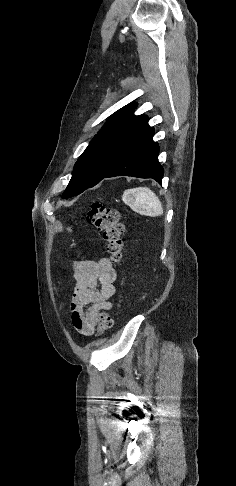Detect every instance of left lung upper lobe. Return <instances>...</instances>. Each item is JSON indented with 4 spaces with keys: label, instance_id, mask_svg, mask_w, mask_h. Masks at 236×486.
<instances>
[{
    "label": "left lung upper lobe",
    "instance_id": "1",
    "mask_svg": "<svg viewBox=\"0 0 236 486\" xmlns=\"http://www.w3.org/2000/svg\"><path fill=\"white\" fill-rule=\"evenodd\" d=\"M136 107V103H130L111 115L75 163L62 198L78 195L98 184L133 142L150 128L147 116L133 114Z\"/></svg>",
    "mask_w": 236,
    "mask_h": 486
}]
</instances>
